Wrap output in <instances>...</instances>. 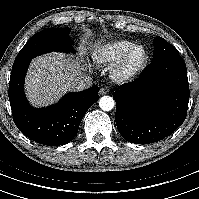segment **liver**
Wrapping results in <instances>:
<instances>
[{
	"label": "liver",
	"mask_w": 199,
	"mask_h": 199,
	"mask_svg": "<svg viewBox=\"0 0 199 199\" xmlns=\"http://www.w3.org/2000/svg\"><path fill=\"white\" fill-rule=\"evenodd\" d=\"M83 67L62 53H50L32 60L25 79L29 102L44 107L58 101L67 91L73 90L72 82L80 76Z\"/></svg>",
	"instance_id": "liver-1"
}]
</instances>
